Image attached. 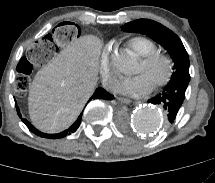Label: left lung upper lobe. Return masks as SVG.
Here are the masks:
<instances>
[{
    "label": "left lung upper lobe",
    "instance_id": "left-lung-upper-lobe-1",
    "mask_svg": "<svg viewBox=\"0 0 215 183\" xmlns=\"http://www.w3.org/2000/svg\"><path fill=\"white\" fill-rule=\"evenodd\" d=\"M121 29L126 32L146 34L162 45L174 62V72L171 75L170 81L180 80L189 83V57L182 41L174 32L160 23L147 19L129 22L122 26Z\"/></svg>",
    "mask_w": 215,
    "mask_h": 183
}]
</instances>
